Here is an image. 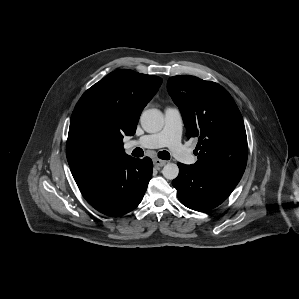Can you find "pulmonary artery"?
Wrapping results in <instances>:
<instances>
[{
	"label": "pulmonary artery",
	"instance_id": "1",
	"mask_svg": "<svg viewBox=\"0 0 299 299\" xmlns=\"http://www.w3.org/2000/svg\"><path fill=\"white\" fill-rule=\"evenodd\" d=\"M165 123L161 131L144 135L132 141L128 147L140 146L143 148L168 147L175 158L185 164L195 162V156L181 143L182 115L177 107H167L164 111Z\"/></svg>",
	"mask_w": 299,
	"mask_h": 299
}]
</instances>
